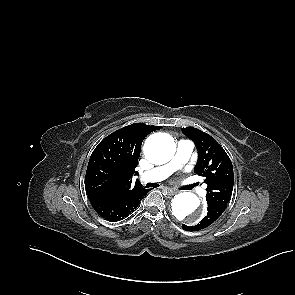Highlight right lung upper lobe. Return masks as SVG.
I'll return each instance as SVG.
<instances>
[{
    "label": "right lung upper lobe",
    "mask_w": 295,
    "mask_h": 295,
    "mask_svg": "<svg viewBox=\"0 0 295 295\" xmlns=\"http://www.w3.org/2000/svg\"><path fill=\"white\" fill-rule=\"evenodd\" d=\"M144 123L125 126L105 137L94 149L87 167H101L108 171V182L97 191H87L89 198L117 200L145 190L132 176L138 174L135 168L141 151V144L149 133L160 129ZM86 183V182H85Z\"/></svg>",
    "instance_id": "1"
}]
</instances>
